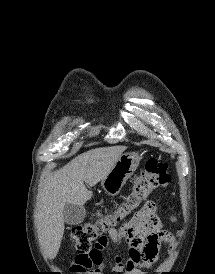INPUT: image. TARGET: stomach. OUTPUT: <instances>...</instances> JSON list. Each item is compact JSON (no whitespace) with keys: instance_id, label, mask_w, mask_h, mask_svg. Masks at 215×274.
I'll list each match as a JSON object with an SVG mask.
<instances>
[{"instance_id":"obj_1","label":"stomach","mask_w":215,"mask_h":274,"mask_svg":"<svg viewBox=\"0 0 215 274\" xmlns=\"http://www.w3.org/2000/svg\"><path fill=\"white\" fill-rule=\"evenodd\" d=\"M139 162L140 158L135 153L122 154L101 182L104 191L111 196L117 195L126 181L133 175Z\"/></svg>"}]
</instances>
